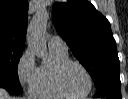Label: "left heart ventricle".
Returning <instances> with one entry per match:
<instances>
[{"label": "left heart ventricle", "instance_id": "left-heart-ventricle-1", "mask_svg": "<svg viewBox=\"0 0 128 99\" xmlns=\"http://www.w3.org/2000/svg\"><path fill=\"white\" fill-rule=\"evenodd\" d=\"M63 84L69 93L80 95L87 90L88 79L79 66L70 65L64 72Z\"/></svg>", "mask_w": 128, "mask_h": 99}]
</instances>
